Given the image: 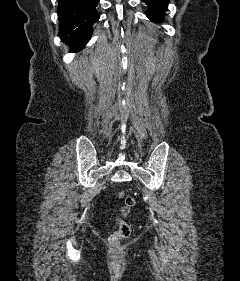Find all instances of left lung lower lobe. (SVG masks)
<instances>
[{
  "label": "left lung lower lobe",
  "mask_w": 240,
  "mask_h": 281,
  "mask_svg": "<svg viewBox=\"0 0 240 281\" xmlns=\"http://www.w3.org/2000/svg\"><path fill=\"white\" fill-rule=\"evenodd\" d=\"M147 4V17L153 22L164 19V11L167 9L169 0H143Z\"/></svg>",
  "instance_id": "1"
}]
</instances>
